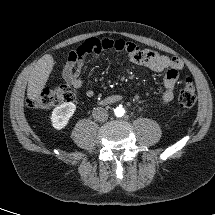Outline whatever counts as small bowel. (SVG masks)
<instances>
[{"label": "small bowel", "mask_w": 215, "mask_h": 215, "mask_svg": "<svg viewBox=\"0 0 215 215\" xmlns=\"http://www.w3.org/2000/svg\"><path fill=\"white\" fill-rule=\"evenodd\" d=\"M104 50H114L125 52L130 62L148 67L154 72H164L163 79L164 92L162 104L171 102L174 98L175 86L179 78V71L183 68V62L175 56H166L150 49H141L130 41L123 39H87L80 46L69 53L67 62L63 68V78L71 86L80 89L83 86L81 72L87 55L92 54L98 57ZM88 98L94 96L92 90H86Z\"/></svg>", "instance_id": "c3829d8e"}]
</instances>
